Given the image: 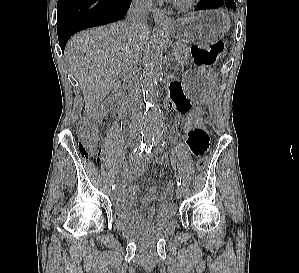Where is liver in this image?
<instances>
[{"mask_svg": "<svg viewBox=\"0 0 299 273\" xmlns=\"http://www.w3.org/2000/svg\"><path fill=\"white\" fill-rule=\"evenodd\" d=\"M149 38V27L132 33L125 21L80 32L68 41L65 57L87 110L103 101L128 66L132 50L140 54Z\"/></svg>", "mask_w": 299, "mask_h": 273, "instance_id": "6515ba94", "label": "liver"}]
</instances>
